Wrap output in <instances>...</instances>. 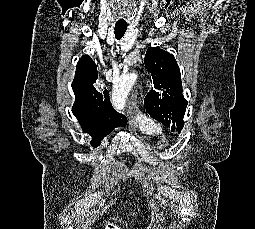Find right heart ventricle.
<instances>
[{
  "instance_id": "e07e8e85",
  "label": "right heart ventricle",
  "mask_w": 255,
  "mask_h": 229,
  "mask_svg": "<svg viewBox=\"0 0 255 229\" xmlns=\"http://www.w3.org/2000/svg\"><path fill=\"white\" fill-rule=\"evenodd\" d=\"M150 126H145L143 124L140 123V129L141 131L148 135V136H155L158 133V127L157 125L150 120L149 122Z\"/></svg>"
}]
</instances>
